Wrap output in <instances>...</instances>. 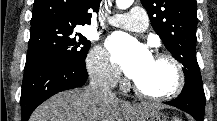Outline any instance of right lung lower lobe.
Returning <instances> with one entry per match:
<instances>
[{"instance_id": "obj_1", "label": "right lung lower lobe", "mask_w": 217, "mask_h": 121, "mask_svg": "<svg viewBox=\"0 0 217 121\" xmlns=\"http://www.w3.org/2000/svg\"><path fill=\"white\" fill-rule=\"evenodd\" d=\"M88 78L87 70L67 63H42L24 69L21 92L22 121L50 96L81 87Z\"/></svg>"}]
</instances>
